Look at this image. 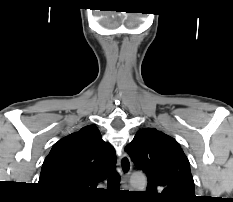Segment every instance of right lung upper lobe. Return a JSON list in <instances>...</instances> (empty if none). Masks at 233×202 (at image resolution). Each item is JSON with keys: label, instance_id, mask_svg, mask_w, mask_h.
<instances>
[{"label": "right lung upper lobe", "instance_id": "1", "mask_svg": "<svg viewBox=\"0 0 233 202\" xmlns=\"http://www.w3.org/2000/svg\"><path fill=\"white\" fill-rule=\"evenodd\" d=\"M116 164L115 150L98 128L86 126L59 140L44 160L39 184L57 196H85Z\"/></svg>", "mask_w": 233, "mask_h": 202}]
</instances>
